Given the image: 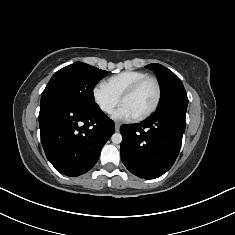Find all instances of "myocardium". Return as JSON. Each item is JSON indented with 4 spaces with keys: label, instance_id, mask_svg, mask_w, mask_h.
I'll list each match as a JSON object with an SVG mask.
<instances>
[{
    "label": "myocardium",
    "instance_id": "obj_1",
    "mask_svg": "<svg viewBox=\"0 0 235 235\" xmlns=\"http://www.w3.org/2000/svg\"><path fill=\"white\" fill-rule=\"evenodd\" d=\"M149 81H151L155 84L156 98H155L153 105L147 111L136 116V118L138 120H143V119L149 117L150 115H152L156 111V109L158 108V106L160 104L161 96H162V89H161V85H160V82L158 81V79L153 76L144 77V78L138 80L137 82H135L133 85H131L120 97V102L122 103L125 98L135 94L146 82H149Z\"/></svg>",
    "mask_w": 235,
    "mask_h": 235
}]
</instances>
